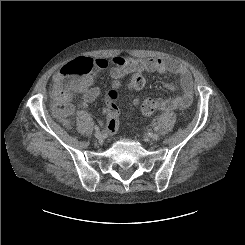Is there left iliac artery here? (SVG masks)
Wrapping results in <instances>:
<instances>
[{
  "mask_svg": "<svg viewBox=\"0 0 245 245\" xmlns=\"http://www.w3.org/2000/svg\"><path fill=\"white\" fill-rule=\"evenodd\" d=\"M154 130H155V131H158V130H159V126H155V127H154Z\"/></svg>",
  "mask_w": 245,
  "mask_h": 245,
  "instance_id": "obj_1",
  "label": "left iliac artery"
}]
</instances>
